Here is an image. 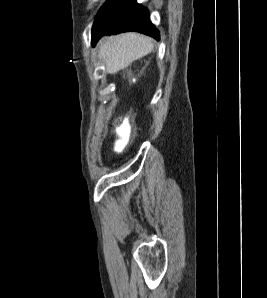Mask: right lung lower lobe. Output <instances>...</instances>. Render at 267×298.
<instances>
[{
	"instance_id": "right-lung-lower-lobe-1",
	"label": "right lung lower lobe",
	"mask_w": 267,
	"mask_h": 298,
	"mask_svg": "<svg viewBox=\"0 0 267 298\" xmlns=\"http://www.w3.org/2000/svg\"><path fill=\"white\" fill-rule=\"evenodd\" d=\"M126 31H138L159 39V32L151 23L149 12L136 0H109L93 24L92 45L104 34Z\"/></svg>"
}]
</instances>
